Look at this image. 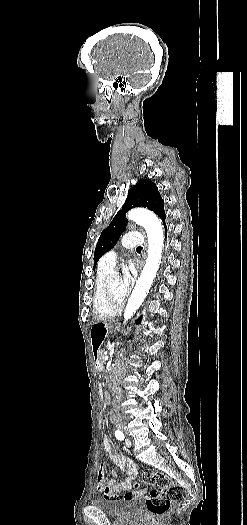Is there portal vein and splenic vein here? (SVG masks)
<instances>
[{
	"label": "portal vein and splenic vein",
	"instance_id": "obj_1",
	"mask_svg": "<svg viewBox=\"0 0 247 525\" xmlns=\"http://www.w3.org/2000/svg\"><path fill=\"white\" fill-rule=\"evenodd\" d=\"M103 356H105V361H108L109 355H106V353H103Z\"/></svg>",
	"mask_w": 247,
	"mask_h": 525
}]
</instances>
